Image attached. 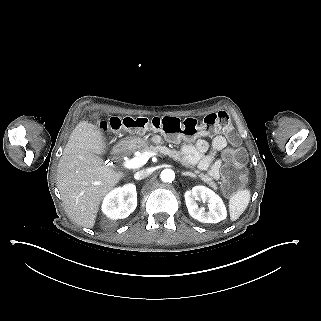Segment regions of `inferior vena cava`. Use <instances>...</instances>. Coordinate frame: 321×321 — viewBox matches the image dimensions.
Wrapping results in <instances>:
<instances>
[{
	"instance_id": "obj_1",
	"label": "inferior vena cava",
	"mask_w": 321,
	"mask_h": 321,
	"mask_svg": "<svg viewBox=\"0 0 321 321\" xmlns=\"http://www.w3.org/2000/svg\"><path fill=\"white\" fill-rule=\"evenodd\" d=\"M151 174V171L149 169H143L134 174V178L136 180H142L147 178Z\"/></svg>"
}]
</instances>
